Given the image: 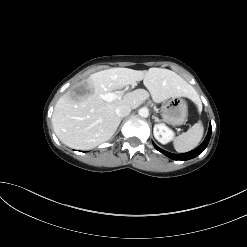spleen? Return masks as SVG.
<instances>
[{
    "label": "spleen",
    "instance_id": "obj_1",
    "mask_svg": "<svg viewBox=\"0 0 247 247\" xmlns=\"http://www.w3.org/2000/svg\"><path fill=\"white\" fill-rule=\"evenodd\" d=\"M199 106V100H196ZM204 128L201 122L195 123L187 132L177 136L174 139L173 145L177 152L184 153L194 149L202 139Z\"/></svg>",
    "mask_w": 247,
    "mask_h": 247
}]
</instances>
